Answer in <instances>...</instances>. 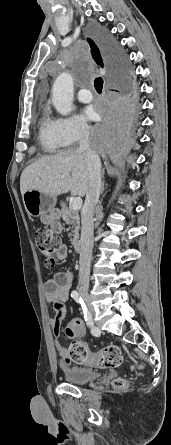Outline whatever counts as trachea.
Instances as JSON below:
<instances>
[{
    "label": "trachea",
    "mask_w": 171,
    "mask_h": 445,
    "mask_svg": "<svg viewBox=\"0 0 171 445\" xmlns=\"http://www.w3.org/2000/svg\"><path fill=\"white\" fill-rule=\"evenodd\" d=\"M94 87H95V89H96V91L98 93L102 92V88H103V80H102V78L98 77V78L95 79Z\"/></svg>",
    "instance_id": "1"
}]
</instances>
